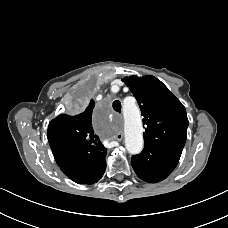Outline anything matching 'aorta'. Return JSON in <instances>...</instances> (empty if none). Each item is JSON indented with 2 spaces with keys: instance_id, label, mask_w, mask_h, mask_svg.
I'll use <instances>...</instances> for the list:
<instances>
[{
  "instance_id": "762f6f07",
  "label": "aorta",
  "mask_w": 228,
  "mask_h": 228,
  "mask_svg": "<svg viewBox=\"0 0 228 228\" xmlns=\"http://www.w3.org/2000/svg\"><path fill=\"white\" fill-rule=\"evenodd\" d=\"M125 147L130 154H139L143 149L142 120L135 103L123 105Z\"/></svg>"
}]
</instances>
